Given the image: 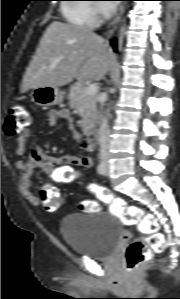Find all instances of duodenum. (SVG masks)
I'll use <instances>...</instances> for the list:
<instances>
[{
    "mask_svg": "<svg viewBox=\"0 0 180 299\" xmlns=\"http://www.w3.org/2000/svg\"><path fill=\"white\" fill-rule=\"evenodd\" d=\"M83 128L87 135L93 134V125L91 123L89 122L84 123Z\"/></svg>",
    "mask_w": 180,
    "mask_h": 299,
    "instance_id": "obj_1",
    "label": "duodenum"
}]
</instances>
